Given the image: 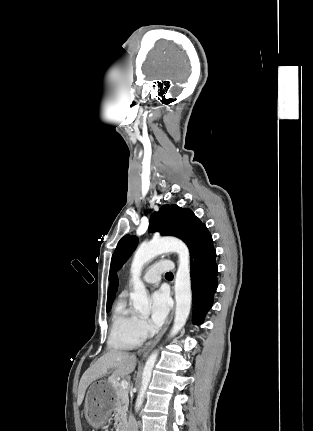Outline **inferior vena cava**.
Returning a JSON list of instances; mask_svg holds the SVG:
<instances>
[{
    "mask_svg": "<svg viewBox=\"0 0 313 431\" xmlns=\"http://www.w3.org/2000/svg\"><path fill=\"white\" fill-rule=\"evenodd\" d=\"M128 431H138V426L136 420L131 417L129 420V430Z\"/></svg>",
    "mask_w": 313,
    "mask_h": 431,
    "instance_id": "602c4592",
    "label": "inferior vena cava"
}]
</instances>
